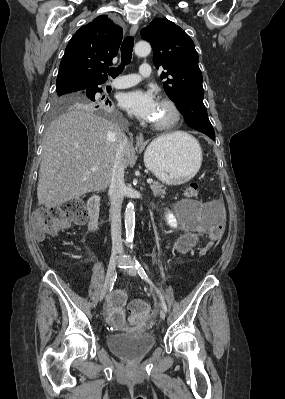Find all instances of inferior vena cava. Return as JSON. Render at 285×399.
<instances>
[{"label":"inferior vena cava","instance_id":"602c4592","mask_svg":"<svg viewBox=\"0 0 285 399\" xmlns=\"http://www.w3.org/2000/svg\"><path fill=\"white\" fill-rule=\"evenodd\" d=\"M127 137L122 134L119 139V146L116 150L114 164L112 169L111 182L109 187L110 195V218H111V236L112 250L120 252L122 250L121 239V205L123 201L124 190V169H125V151Z\"/></svg>","mask_w":285,"mask_h":399}]
</instances>
